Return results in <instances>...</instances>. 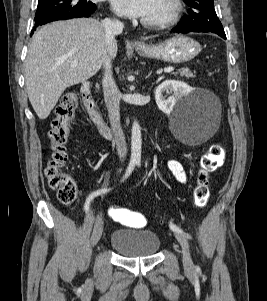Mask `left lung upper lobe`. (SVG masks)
<instances>
[{
	"instance_id": "left-lung-upper-lobe-1",
	"label": "left lung upper lobe",
	"mask_w": 267,
	"mask_h": 301,
	"mask_svg": "<svg viewBox=\"0 0 267 301\" xmlns=\"http://www.w3.org/2000/svg\"><path fill=\"white\" fill-rule=\"evenodd\" d=\"M184 2L189 6V15L182 18L179 26L202 28L216 34L225 33L216 15L213 0H184Z\"/></svg>"
}]
</instances>
